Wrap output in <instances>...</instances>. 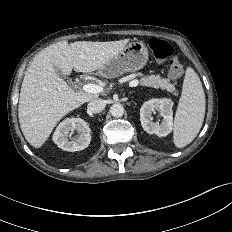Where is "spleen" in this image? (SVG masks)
<instances>
[{
	"instance_id": "spleen-1",
	"label": "spleen",
	"mask_w": 232,
	"mask_h": 232,
	"mask_svg": "<svg viewBox=\"0 0 232 232\" xmlns=\"http://www.w3.org/2000/svg\"><path fill=\"white\" fill-rule=\"evenodd\" d=\"M204 116L205 94L200 78L191 67H187L174 118L173 140L176 147H185L194 140Z\"/></svg>"
}]
</instances>
